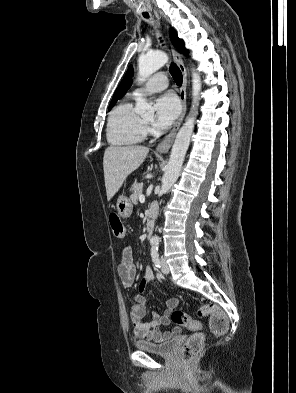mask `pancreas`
Segmentation results:
<instances>
[{"label":"pancreas","mask_w":296,"mask_h":393,"mask_svg":"<svg viewBox=\"0 0 296 393\" xmlns=\"http://www.w3.org/2000/svg\"><path fill=\"white\" fill-rule=\"evenodd\" d=\"M143 184L136 183L132 187V194L130 195V199L133 204H137L139 196L142 195Z\"/></svg>","instance_id":"1"}]
</instances>
